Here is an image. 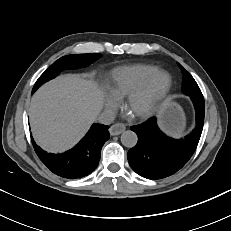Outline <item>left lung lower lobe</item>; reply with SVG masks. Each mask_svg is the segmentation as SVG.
Listing matches in <instances>:
<instances>
[{"label": "left lung lower lobe", "mask_w": 231, "mask_h": 231, "mask_svg": "<svg viewBox=\"0 0 231 231\" xmlns=\"http://www.w3.org/2000/svg\"><path fill=\"white\" fill-rule=\"evenodd\" d=\"M196 127L184 139H173L163 134L156 118L132 126L138 136L137 144L128 151L131 168L147 179H161L173 175L191 158L198 145L204 123L205 105L194 103Z\"/></svg>", "instance_id": "obj_1"}]
</instances>
